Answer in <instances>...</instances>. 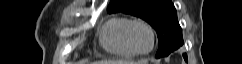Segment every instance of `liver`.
<instances>
[{"label": "liver", "mask_w": 242, "mask_h": 64, "mask_svg": "<svg viewBox=\"0 0 242 64\" xmlns=\"http://www.w3.org/2000/svg\"><path fill=\"white\" fill-rule=\"evenodd\" d=\"M95 64H134V62H132V61L103 60V61H98Z\"/></svg>", "instance_id": "liver-1"}]
</instances>
